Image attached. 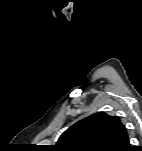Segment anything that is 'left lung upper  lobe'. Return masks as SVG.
Instances as JSON below:
<instances>
[{"mask_svg":"<svg viewBox=\"0 0 142 151\" xmlns=\"http://www.w3.org/2000/svg\"><path fill=\"white\" fill-rule=\"evenodd\" d=\"M56 147L63 151H128L127 129L118 116L94 113L69 127Z\"/></svg>","mask_w":142,"mask_h":151,"instance_id":"5c2ea615","label":"left lung upper lobe"}]
</instances>
